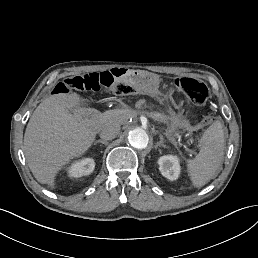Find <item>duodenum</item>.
Masks as SVG:
<instances>
[{
    "label": "duodenum",
    "instance_id": "duodenum-1",
    "mask_svg": "<svg viewBox=\"0 0 258 258\" xmlns=\"http://www.w3.org/2000/svg\"><path fill=\"white\" fill-rule=\"evenodd\" d=\"M107 76L115 82H127L135 78L136 73L128 67L116 66L107 71Z\"/></svg>",
    "mask_w": 258,
    "mask_h": 258
}]
</instances>
